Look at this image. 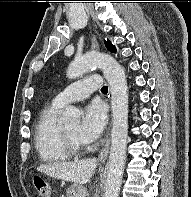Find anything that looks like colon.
<instances>
[{"label": "colon", "mask_w": 191, "mask_h": 197, "mask_svg": "<svg viewBox=\"0 0 191 197\" xmlns=\"http://www.w3.org/2000/svg\"><path fill=\"white\" fill-rule=\"evenodd\" d=\"M34 184L39 197H51V187L45 180L35 177Z\"/></svg>", "instance_id": "5ec220e1"}]
</instances>
